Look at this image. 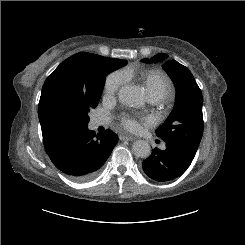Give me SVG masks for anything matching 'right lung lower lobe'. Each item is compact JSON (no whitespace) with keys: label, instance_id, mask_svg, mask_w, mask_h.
Segmentation results:
<instances>
[{"label":"right lung lower lobe","instance_id":"obj_1","mask_svg":"<svg viewBox=\"0 0 245 245\" xmlns=\"http://www.w3.org/2000/svg\"><path fill=\"white\" fill-rule=\"evenodd\" d=\"M117 141L110 130L95 135L85 128L63 138L47 154L63 173L76 181H87L99 173Z\"/></svg>","mask_w":245,"mask_h":245}]
</instances>
